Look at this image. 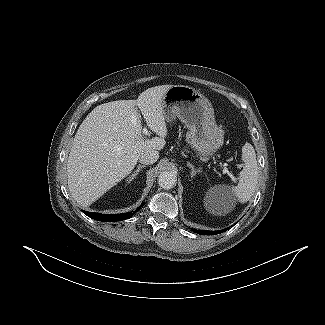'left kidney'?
<instances>
[{
    "mask_svg": "<svg viewBox=\"0 0 325 325\" xmlns=\"http://www.w3.org/2000/svg\"><path fill=\"white\" fill-rule=\"evenodd\" d=\"M222 190H223V188H218L214 191L211 190L210 192H208V194L206 196L208 199V203L213 202V201H215V202L219 201L221 199Z\"/></svg>",
    "mask_w": 325,
    "mask_h": 325,
    "instance_id": "1",
    "label": "left kidney"
}]
</instances>
